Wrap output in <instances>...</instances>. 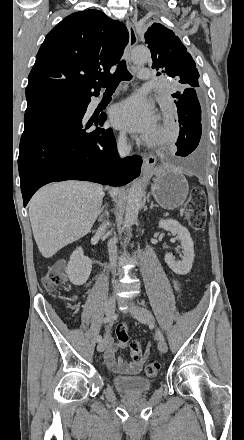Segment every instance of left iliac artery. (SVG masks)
<instances>
[{"mask_svg": "<svg viewBox=\"0 0 244 440\" xmlns=\"http://www.w3.org/2000/svg\"><path fill=\"white\" fill-rule=\"evenodd\" d=\"M141 304H142V305H145V301H144V300H141ZM157 336H158V338L164 340V337H163V335L160 333V331H157Z\"/></svg>", "mask_w": 244, "mask_h": 440, "instance_id": "obj_1", "label": "left iliac artery"}]
</instances>
